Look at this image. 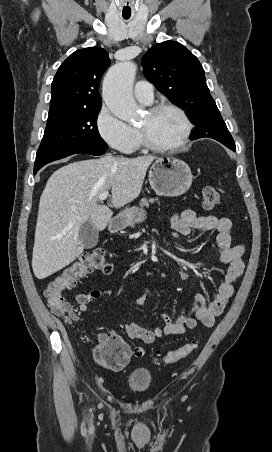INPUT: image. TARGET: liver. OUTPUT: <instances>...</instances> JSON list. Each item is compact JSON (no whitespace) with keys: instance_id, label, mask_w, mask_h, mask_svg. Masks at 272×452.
I'll use <instances>...</instances> for the list:
<instances>
[{"instance_id":"1","label":"liver","mask_w":272,"mask_h":452,"mask_svg":"<svg viewBox=\"0 0 272 452\" xmlns=\"http://www.w3.org/2000/svg\"><path fill=\"white\" fill-rule=\"evenodd\" d=\"M155 156H104L81 160L56 170L40 197L32 268L44 279L68 266L84 249L81 227L90 221L104 230L113 212L98 204L101 193L112 190V204L120 208L136 199Z\"/></svg>"}]
</instances>
